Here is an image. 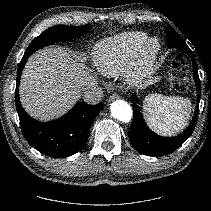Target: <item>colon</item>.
I'll return each instance as SVG.
<instances>
[{
	"label": "colon",
	"mask_w": 211,
	"mask_h": 211,
	"mask_svg": "<svg viewBox=\"0 0 211 211\" xmlns=\"http://www.w3.org/2000/svg\"><path fill=\"white\" fill-rule=\"evenodd\" d=\"M169 80L178 91L188 90L187 64L181 57L175 58L169 68Z\"/></svg>",
	"instance_id": "1"
}]
</instances>
